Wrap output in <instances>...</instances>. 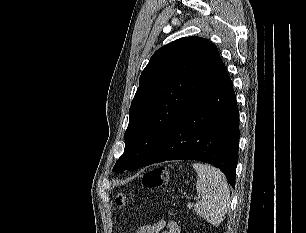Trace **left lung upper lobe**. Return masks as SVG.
Returning <instances> with one entry per match:
<instances>
[{
	"label": "left lung upper lobe",
	"instance_id": "obj_1",
	"mask_svg": "<svg viewBox=\"0 0 306 233\" xmlns=\"http://www.w3.org/2000/svg\"><path fill=\"white\" fill-rule=\"evenodd\" d=\"M223 69L217 47L201 37L180 38L158 49L141 73L125 152L113 171L141 167Z\"/></svg>",
	"mask_w": 306,
	"mask_h": 233
}]
</instances>
